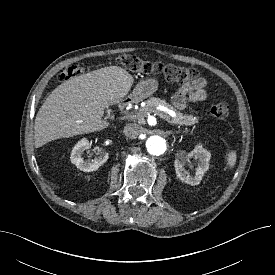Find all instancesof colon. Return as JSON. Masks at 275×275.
Masks as SVG:
<instances>
[{
    "instance_id": "obj_1",
    "label": "colon",
    "mask_w": 275,
    "mask_h": 275,
    "mask_svg": "<svg viewBox=\"0 0 275 275\" xmlns=\"http://www.w3.org/2000/svg\"><path fill=\"white\" fill-rule=\"evenodd\" d=\"M116 60L126 69L138 74H162L171 83L185 84L198 78L199 72L194 67L179 66L174 64L150 63L132 54H123ZM83 69L79 65L67 67L60 79L66 81L81 75ZM210 113L217 119H226L229 115V106L224 102L211 105Z\"/></svg>"
}]
</instances>
